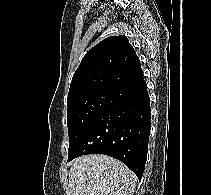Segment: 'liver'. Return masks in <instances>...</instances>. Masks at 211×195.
<instances>
[{
  "mask_svg": "<svg viewBox=\"0 0 211 195\" xmlns=\"http://www.w3.org/2000/svg\"><path fill=\"white\" fill-rule=\"evenodd\" d=\"M136 175L107 155L76 158L69 171V195H133Z\"/></svg>",
  "mask_w": 211,
  "mask_h": 195,
  "instance_id": "1",
  "label": "liver"
}]
</instances>
